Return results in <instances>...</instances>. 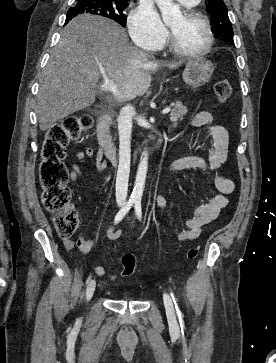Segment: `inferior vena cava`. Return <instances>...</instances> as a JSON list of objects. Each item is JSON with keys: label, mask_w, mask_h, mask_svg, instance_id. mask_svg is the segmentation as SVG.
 Returning <instances> with one entry per match:
<instances>
[{"label": "inferior vena cava", "mask_w": 276, "mask_h": 363, "mask_svg": "<svg viewBox=\"0 0 276 363\" xmlns=\"http://www.w3.org/2000/svg\"><path fill=\"white\" fill-rule=\"evenodd\" d=\"M132 106L127 105L120 110L118 116L119 132V166L116 177V202L122 206L126 203L128 192V179L130 172V138L132 130V117L134 115Z\"/></svg>", "instance_id": "obj_1"}]
</instances>
